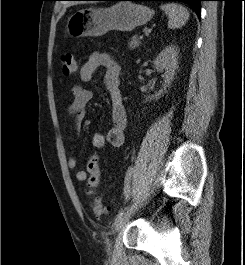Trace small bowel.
Segmentation results:
<instances>
[{
	"label": "small bowel",
	"instance_id": "small-bowel-1",
	"mask_svg": "<svg viewBox=\"0 0 245 265\" xmlns=\"http://www.w3.org/2000/svg\"><path fill=\"white\" fill-rule=\"evenodd\" d=\"M99 68L105 70L103 82L111 100L112 126L106 135L94 133L91 137V143L97 149H103L106 146L119 148L124 144L125 129L127 127V112L120 88L122 67L108 53L97 51L92 53L89 59L82 65L80 79L83 82L91 81ZM72 94L73 99L66 109L65 117L67 121L72 123L75 130L79 131L80 123L85 116L86 106L91 101L93 93L91 90L77 84L73 86ZM67 166L70 170H76L78 166L76 158L69 157ZM75 176L80 182L88 180V175L83 170H77Z\"/></svg>",
	"mask_w": 245,
	"mask_h": 265
}]
</instances>
